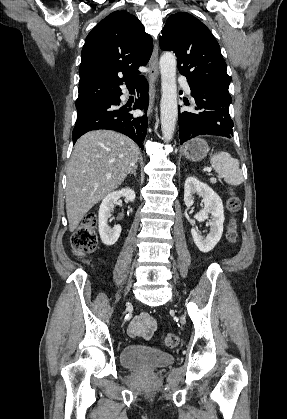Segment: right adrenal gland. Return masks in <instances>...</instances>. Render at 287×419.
<instances>
[{
	"label": "right adrenal gland",
	"instance_id": "1",
	"mask_svg": "<svg viewBox=\"0 0 287 419\" xmlns=\"http://www.w3.org/2000/svg\"><path fill=\"white\" fill-rule=\"evenodd\" d=\"M136 170H137V165L133 166V168L130 171L129 175L131 176L133 174L136 177Z\"/></svg>",
	"mask_w": 287,
	"mask_h": 419
}]
</instances>
